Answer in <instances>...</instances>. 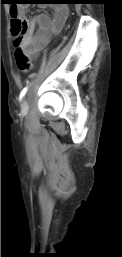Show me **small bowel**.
<instances>
[{"instance_id":"obj_1","label":"small bowel","mask_w":122,"mask_h":257,"mask_svg":"<svg viewBox=\"0 0 122 257\" xmlns=\"http://www.w3.org/2000/svg\"><path fill=\"white\" fill-rule=\"evenodd\" d=\"M68 16V9L57 6L54 16L50 18L46 14H38L27 21V29L22 39L17 44L29 57H35L49 43L51 36L62 29Z\"/></svg>"}]
</instances>
